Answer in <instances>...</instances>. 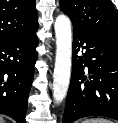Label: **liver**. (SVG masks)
Returning a JSON list of instances; mask_svg holds the SVG:
<instances>
[{
	"label": "liver",
	"mask_w": 118,
	"mask_h": 123,
	"mask_svg": "<svg viewBox=\"0 0 118 123\" xmlns=\"http://www.w3.org/2000/svg\"><path fill=\"white\" fill-rule=\"evenodd\" d=\"M0 123H5V121L2 117H0Z\"/></svg>",
	"instance_id": "1"
}]
</instances>
